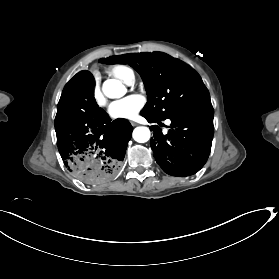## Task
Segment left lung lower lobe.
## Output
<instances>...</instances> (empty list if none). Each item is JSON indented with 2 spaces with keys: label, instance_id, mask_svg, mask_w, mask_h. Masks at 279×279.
I'll use <instances>...</instances> for the list:
<instances>
[{
  "label": "left lung lower lobe",
  "instance_id": "1",
  "mask_svg": "<svg viewBox=\"0 0 279 279\" xmlns=\"http://www.w3.org/2000/svg\"><path fill=\"white\" fill-rule=\"evenodd\" d=\"M144 116L149 122L158 120ZM212 105L170 117L171 129L166 135L157 125L151 126L154 137L150 146L156 162L171 176L184 177L198 172L206 163L213 139Z\"/></svg>",
  "mask_w": 279,
  "mask_h": 279
}]
</instances>
